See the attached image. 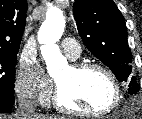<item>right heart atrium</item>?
Instances as JSON below:
<instances>
[{"label": "right heart atrium", "mask_w": 142, "mask_h": 119, "mask_svg": "<svg viewBox=\"0 0 142 119\" xmlns=\"http://www.w3.org/2000/svg\"><path fill=\"white\" fill-rule=\"evenodd\" d=\"M15 91L19 98L29 102L44 104L49 100L51 84L35 59H22L15 81Z\"/></svg>", "instance_id": "d8ad5b80"}]
</instances>
